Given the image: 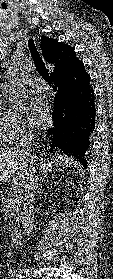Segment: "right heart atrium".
<instances>
[{
  "label": "right heart atrium",
  "mask_w": 113,
  "mask_h": 279,
  "mask_svg": "<svg viewBox=\"0 0 113 279\" xmlns=\"http://www.w3.org/2000/svg\"><path fill=\"white\" fill-rule=\"evenodd\" d=\"M31 127L23 120H15L13 124L14 137H24L31 133Z\"/></svg>",
  "instance_id": "obj_1"
}]
</instances>
